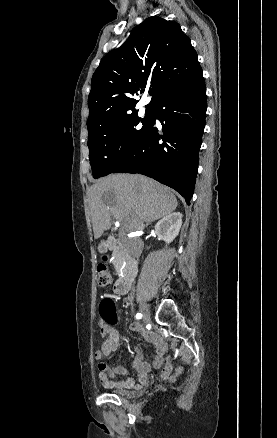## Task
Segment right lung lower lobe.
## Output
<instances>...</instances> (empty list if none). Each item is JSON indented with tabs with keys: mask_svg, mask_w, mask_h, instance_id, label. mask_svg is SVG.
I'll list each match as a JSON object with an SVG mask.
<instances>
[{
	"mask_svg": "<svg viewBox=\"0 0 277 438\" xmlns=\"http://www.w3.org/2000/svg\"><path fill=\"white\" fill-rule=\"evenodd\" d=\"M165 67L169 71L180 68L177 63ZM206 109L202 71L163 91L150 108L148 130L113 173H140L154 178L178 191L189 204L195 188ZM156 119L161 125H155Z\"/></svg>",
	"mask_w": 277,
	"mask_h": 438,
	"instance_id": "right-lung-lower-lobe-1",
	"label": "right lung lower lobe"
}]
</instances>
